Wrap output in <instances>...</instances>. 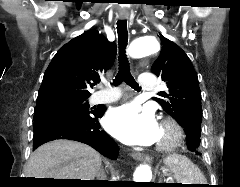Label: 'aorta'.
<instances>
[{"label":"aorta","instance_id":"762f6f07","mask_svg":"<svg viewBox=\"0 0 240 187\" xmlns=\"http://www.w3.org/2000/svg\"><path fill=\"white\" fill-rule=\"evenodd\" d=\"M160 45L153 36L138 37L130 45L129 55L132 58H141L157 53ZM152 171L148 165H140L133 174V182H150Z\"/></svg>","mask_w":240,"mask_h":187}]
</instances>
